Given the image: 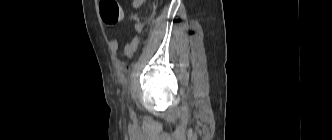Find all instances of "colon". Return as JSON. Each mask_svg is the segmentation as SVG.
I'll return each instance as SVG.
<instances>
[{
	"label": "colon",
	"instance_id": "obj_1",
	"mask_svg": "<svg viewBox=\"0 0 332 140\" xmlns=\"http://www.w3.org/2000/svg\"><path fill=\"white\" fill-rule=\"evenodd\" d=\"M100 13L103 22L107 25H115L123 17L122 8L116 0H101Z\"/></svg>",
	"mask_w": 332,
	"mask_h": 140
}]
</instances>
